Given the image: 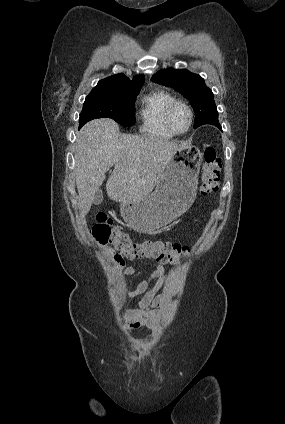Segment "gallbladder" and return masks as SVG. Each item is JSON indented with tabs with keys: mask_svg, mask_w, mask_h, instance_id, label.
<instances>
[{
	"mask_svg": "<svg viewBox=\"0 0 285 424\" xmlns=\"http://www.w3.org/2000/svg\"><path fill=\"white\" fill-rule=\"evenodd\" d=\"M102 201H103V193H102V190H101V189H97V190L95 191V193H94V200H93V203H94L95 205H99V204H101V203H102Z\"/></svg>",
	"mask_w": 285,
	"mask_h": 424,
	"instance_id": "1",
	"label": "gallbladder"
}]
</instances>
